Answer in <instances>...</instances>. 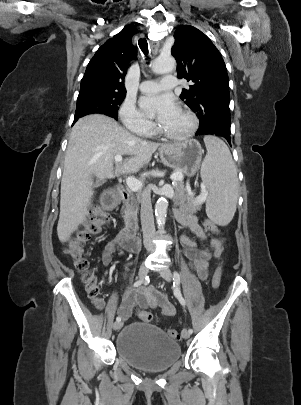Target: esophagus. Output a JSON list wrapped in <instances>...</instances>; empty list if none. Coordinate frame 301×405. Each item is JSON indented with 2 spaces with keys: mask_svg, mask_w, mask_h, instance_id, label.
Returning <instances> with one entry per match:
<instances>
[{
  "mask_svg": "<svg viewBox=\"0 0 301 405\" xmlns=\"http://www.w3.org/2000/svg\"><path fill=\"white\" fill-rule=\"evenodd\" d=\"M151 50L154 54L157 53L159 44L157 42H150Z\"/></svg>",
  "mask_w": 301,
  "mask_h": 405,
  "instance_id": "1",
  "label": "esophagus"
}]
</instances>
